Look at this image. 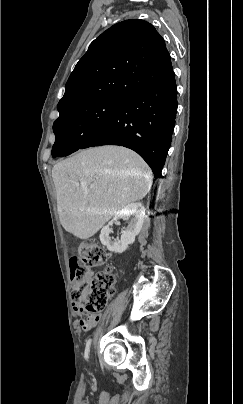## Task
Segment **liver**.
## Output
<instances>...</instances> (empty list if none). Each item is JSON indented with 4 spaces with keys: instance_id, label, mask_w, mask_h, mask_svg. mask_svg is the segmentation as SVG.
<instances>
[{
    "instance_id": "6515ba94",
    "label": "liver",
    "mask_w": 243,
    "mask_h": 404,
    "mask_svg": "<svg viewBox=\"0 0 243 404\" xmlns=\"http://www.w3.org/2000/svg\"><path fill=\"white\" fill-rule=\"evenodd\" d=\"M52 178L60 222L80 240L94 236L127 204L143 200L152 186L149 166L121 146L81 150L55 164Z\"/></svg>"
}]
</instances>
